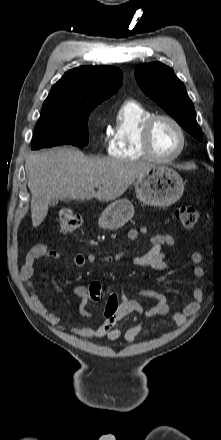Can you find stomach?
I'll return each mask as SVG.
<instances>
[{"label":"stomach","instance_id":"1","mask_svg":"<svg viewBox=\"0 0 221 440\" xmlns=\"http://www.w3.org/2000/svg\"><path fill=\"white\" fill-rule=\"evenodd\" d=\"M181 176L167 166H154L137 178V198L146 205L165 207L178 201L183 195ZM134 207L128 199H118L103 211L98 224L102 229L115 230L131 219Z\"/></svg>","mask_w":221,"mask_h":440}]
</instances>
